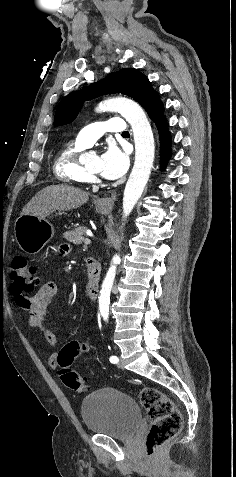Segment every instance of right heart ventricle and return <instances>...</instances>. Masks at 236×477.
Masks as SVG:
<instances>
[{"label": "right heart ventricle", "mask_w": 236, "mask_h": 477, "mask_svg": "<svg viewBox=\"0 0 236 477\" xmlns=\"http://www.w3.org/2000/svg\"><path fill=\"white\" fill-rule=\"evenodd\" d=\"M86 148L87 146L75 141L60 153L54 165L55 174L60 180L70 184L90 182L85 167L78 160L79 154Z\"/></svg>", "instance_id": "right-heart-ventricle-1"}]
</instances>
